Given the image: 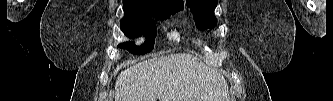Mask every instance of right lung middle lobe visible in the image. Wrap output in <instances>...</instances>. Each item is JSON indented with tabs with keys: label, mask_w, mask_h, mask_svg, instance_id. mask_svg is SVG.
<instances>
[{
	"label": "right lung middle lobe",
	"mask_w": 333,
	"mask_h": 101,
	"mask_svg": "<svg viewBox=\"0 0 333 101\" xmlns=\"http://www.w3.org/2000/svg\"><path fill=\"white\" fill-rule=\"evenodd\" d=\"M183 7L184 4L161 0H123L124 18L120 22L122 32L129 38L143 35L147 40L141 46H136L134 42H124L119 47L137 55L152 51L157 33L151 16L156 20H164Z\"/></svg>",
	"instance_id": "dd1d6c3e"
}]
</instances>
